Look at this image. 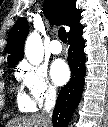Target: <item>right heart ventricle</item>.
I'll list each match as a JSON object with an SVG mask.
<instances>
[{"label": "right heart ventricle", "mask_w": 108, "mask_h": 127, "mask_svg": "<svg viewBox=\"0 0 108 127\" xmlns=\"http://www.w3.org/2000/svg\"><path fill=\"white\" fill-rule=\"evenodd\" d=\"M17 104L19 109L23 112H33L35 110V105L30 98L21 92L17 95Z\"/></svg>", "instance_id": "1"}]
</instances>
